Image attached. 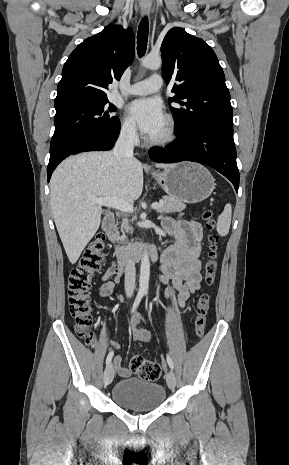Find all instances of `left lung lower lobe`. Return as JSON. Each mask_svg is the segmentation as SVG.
I'll return each instance as SVG.
<instances>
[{
	"mask_svg": "<svg viewBox=\"0 0 289 465\" xmlns=\"http://www.w3.org/2000/svg\"><path fill=\"white\" fill-rule=\"evenodd\" d=\"M177 140L167 149H152L150 158L159 163L193 161L206 164L227 177L238 192L239 170L232 132L194 125L186 132L175 131Z\"/></svg>",
	"mask_w": 289,
	"mask_h": 465,
	"instance_id": "1",
	"label": "left lung lower lobe"
}]
</instances>
